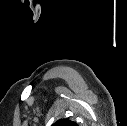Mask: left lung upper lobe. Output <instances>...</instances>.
<instances>
[{"label":"left lung upper lobe","instance_id":"left-lung-upper-lobe-1","mask_svg":"<svg viewBox=\"0 0 127 126\" xmlns=\"http://www.w3.org/2000/svg\"><path fill=\"white\" fill-rule=\"evenodd\" d=\"M52 126H77V124L69 119H61L55 122Z\"/></svg>","mask_w":127,"mask_h":126}]
</instances>
